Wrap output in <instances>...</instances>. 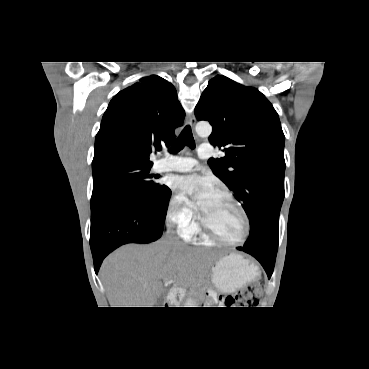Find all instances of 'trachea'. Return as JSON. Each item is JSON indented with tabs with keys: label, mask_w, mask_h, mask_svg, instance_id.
<instances>
[{
	"label": "trachea",
	"mask_w": 369,
	"mask_h": 369,
	"mask_svg": "<svg viewBox=\"0 0 369 369\" xmlns=\"http://www.w3.org/2000/svg\"><path fill=\"white\" fill-rule=\"evenodd\" d=\"M184 146H188L191 149L195 148V141L189 125L185 126L181 134L176 139L175 143L169 150L170 153H177L181 151Z\"/></svg>",
	"instance_id": "1"
}]
</instances>
